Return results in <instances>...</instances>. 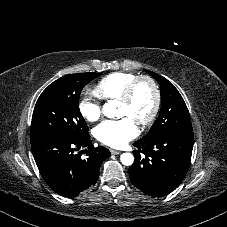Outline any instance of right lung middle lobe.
I'll return each instance as SVG.
<instances>
[{"instance_id": "obj_1", "label": "right lung middle lobe", "mask_w": 227, "mask_h": 227, "mask_svg": "<svg viewBox=\"0 0 227 227\" xmlns=\"http://www.w3.org/2000/svg\"><path fill=\"white\" fill-rule=\"evenodd\" d=\"M100 75L94 72L69 74L51 83L36 102L30 129L31 143L50 135H87L88 127L78 104L80 92Z\"/></svg>"}]
</instances>
